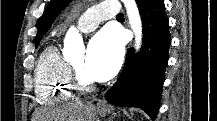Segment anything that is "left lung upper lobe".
Wrapping results in <instances>:
<instances>
[{"label":"left lung upper lobe","instance_id":"1","mask_svg":"<svg viewBox=\"0 0 217 121\" xmlns=\"http://www.w3.org/2000/svg\"><path fill=\"white\" fill-rule=\"evenodd\" d=\"M71 0H51L48 6L46 7L43 15L40 17L38 21V33L35 38V45L39 44L42 37L45 35L47 30L50 28L54 19L58 15L61 9L65 8V6Z\"/></svg>","mask_w":217,"mask_h":121}]
</instances>
